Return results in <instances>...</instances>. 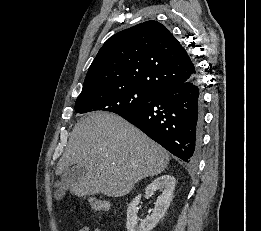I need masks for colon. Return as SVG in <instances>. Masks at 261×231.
<instances>
[{"label":"colon","mask_w":261,"mask_h":231,"mask_svg":"<svg viewBox=\"0 0 261 231\" xmlns=\"http://www.w3.org/2000/svg\"><path fill=\"white\" fill-rule=\"evenodd\" d=\"M88 203H89L90 207L96 211H101V212H105V213L111 211V205L106 201L89 199Z\"/></svg>","instance_id":"obj_1"}]
</instances>
